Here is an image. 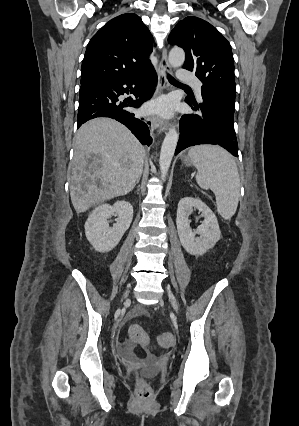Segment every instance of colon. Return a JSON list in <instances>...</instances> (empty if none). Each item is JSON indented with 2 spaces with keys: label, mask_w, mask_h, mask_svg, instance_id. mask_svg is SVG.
Returning <instances> with one entry per match:
<instances>
[{
  "label": "colon",
  "mask_w": 299,
  "mask_h": 426,
  "mask_svg": "<svg viewBox=\"0 0 299 426\" xmlns=\"http://www.w3.org/2000/svg\"><path fill=\"white\" fill-rule=\"evenodd\" d=\"M129 337L131 341L136 343H141L143 345L149 344V337L139 325L134 324L130 326ZM157 342L162 348H170L174 344V337L171 333L166 332L158 337ZM135 395L137 399L143 402L148 401L151 398L152 388L146 380H137Z\"/></svg>",
  "instance_id": "1"
}]
</instances>
